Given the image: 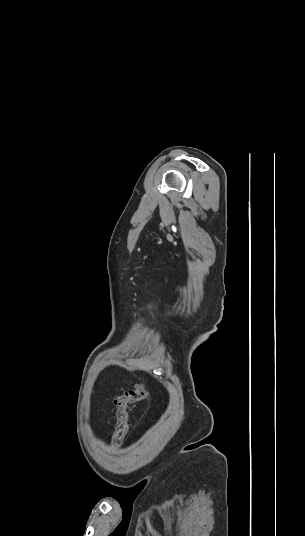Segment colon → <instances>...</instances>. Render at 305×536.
Wrapping results in <instances>:
<instances>
[{"label":"colon","mask_w":305,"mask_h":536,"mask_svg":"<svg viewBox=\"0 0 305 536\" xmlns=\"http://www.w3.org/2000/svg\"><path fill=\"white\" fill-rule=\"evenodd\" d=\"M147 395L146 387L143 383H135L123 394L114 398L116 409V424L113 435V442L119 443L123 439L128 425V406L142 402Z\"/></svg>","instance_id":"obj_1"}]
</instances>
